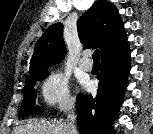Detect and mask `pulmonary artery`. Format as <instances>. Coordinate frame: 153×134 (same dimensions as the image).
Listing matches in <instances>:
<instances>
[{
    "mask_svg": "<svg viewBox=\"0 0 153 134\" xmlns=\"http://www.w3.org/2000/svg\"><path fill=\"white\" fill-rule=\"evenodd\" d=\"M79 65H80L81 69H83L85 71H89V70L92 69L93 62L90 59V53L89 52H84L83 53V55L80 59Z\"/></svg>",
    "mask_w": 153,
    "mask_h": 134,
    "instance_id": "obj_1",
    "label": "pulmonary artery"
}]
</instances>
